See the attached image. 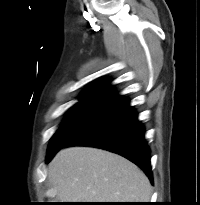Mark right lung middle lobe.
<instances>
[{
    "label": "right lung middle lobe",
    "mask_w": 200,
    "mask_h": 205,
    "mask_svg": "<svg viewBox=\"0 0 200 205\" xmlns=\"http://www.w3.org/2000/svg\"><path fill=\"white\" fill-rule=\"evenodd\" d=\"M115 102L81 100L74 105L61 127L50 140L48 153L57 150L107 112Z\"/></svg>",
    "instance_id": "dd1d6c3e"
}]
</instances>
